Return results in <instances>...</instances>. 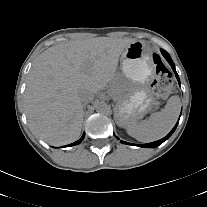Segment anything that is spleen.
<instances>
[{
	"instance_id": "1",
	"label": "spleen",
	"mask_w": 207,
	"mask_h": 207,
	"mask_svg": "<svg viewBox=\"0 0 207 207\" xmlns=\"http://www.w3.org/2000/svg\"><path fill=\"white\" fill-rule=\"evenodd\" d=\"M181 107L179 96L168 99L164 109L153 113L148 119H132L126 125L127 133L140 142H152L163 138L177 122Z\"/></svg>"
}]
</instances>
